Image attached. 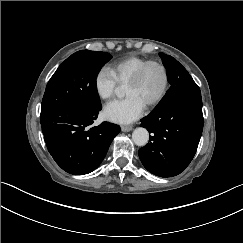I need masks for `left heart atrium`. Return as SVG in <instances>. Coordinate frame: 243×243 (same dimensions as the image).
Listing matches in <instances>:
<instances>
[{"instance_id": "1", "label": "left heart atrium", "mask_w": 243, "mask_h": 243, "mask_svg": "<svg viewBox=\"0 0 243 243\" xmlns=\"http://www.w3.org/2000/svg\"><path fill=\"white\" fill-rule=\"evenodd\" d=\"M146 104L136 95L124 99L113 100L103 107L105 119L114 123H130L138 119L144 112Z\"/></svg>"}]
</instances>
